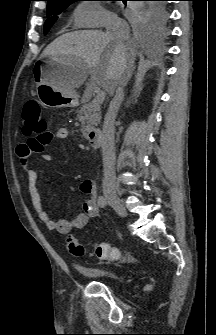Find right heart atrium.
<instances>
[{
  "mask_svg": "<svg viewBox=\"0 0 216 335\" xmlns=\"http://www.w3.org/2000/svg\"><path fill=\"white\" fill-rule=\"evenodd\" d=\"M74 20L78 27L99 28L115 22L117 17L95 1H81L74 9Z\"/></svg>",
  "mask_w": 216,
  "mask_h": 335,
  "instance_id": "obj_1",
  "label": "right heart atrium"
}]
</instances>
